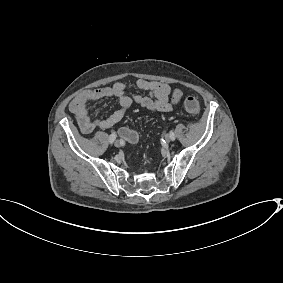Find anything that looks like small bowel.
Returning a JSON list of instances; mask_svg holds the SVG:
<instances>
[{"label":"small bowel","instance_id":"c3829d8e","mask_svg":"<svg viewBox=\"0 0 283 283\" xmlns=\"http://www.w3.org/2000/svg\"><path fill=\"white\" fill-rule=\"evenodd\" d=\"M134 88L148 95L136 94L132 92ZM102 98H115L117 108L109 116L91 119L88 104ZM181 98V90L172 89L166 83L139 79L135 83L117 82L112 86L84 90L70 102L69 110L75 116L80 130L89 134L96 128L109 129L117 125L134 102L152 111L170 112Z\"/></svg>","mask_w":283,"mask_h":283}]
</instances>
